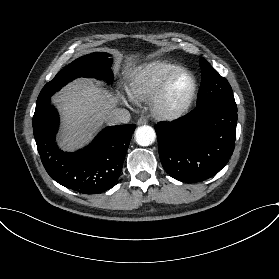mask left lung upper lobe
<instances>
[{
	"mask_svg": "<svg viewBox=\"0 0 279 279\" xmlns=\"http://www.w3.org/2000/svg\"><path fill=\"white\" fill-rule=\"evenodd\" d=\"M201 87L197 96V106L216 102L236 108L232 88L227 79L220 76L206 59L200 58Z\"/></svg>",
	"mask_w": 279,
	"mask_h": 279,
	"instance_id": "left-lung-upper-lobe-1",
	"label": "left lung upper lobe"
}]
</instances>
